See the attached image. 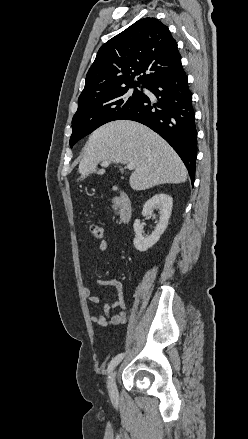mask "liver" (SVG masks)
<instances>
[{"label": "liver", "instance_id": "1", "mask_svg": "<svg viewBox=\"0 0 248 439\" xmlns=\"http://www.w3.org/2000/svg\"><path fill=\"white\" fill-rule=\"evenodd\" d=\"M100 162L134 163L130 186L141 191L160 184H179L187 180V170L172 147L148 127L128 120L109 122L89 137L78 171L80 180L97 170Z\"/></svg>", "mask_w": 248, "mask_h": 439}]
</instances>
